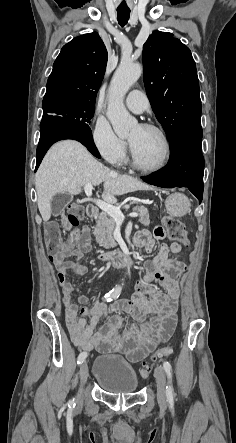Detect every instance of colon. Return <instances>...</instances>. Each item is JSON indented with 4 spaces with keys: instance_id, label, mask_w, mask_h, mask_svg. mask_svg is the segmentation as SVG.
<instances>
[{
    "instance_id": "1",
    "label": "colon",
    "mask_w": 236,
    "mask_h": 443,
    "mask_svg": "<svg viewBox=\"0 0 236 443\" xmlns=\"http://www.w3.org/2000/svg\"><path fill=\"white\" fill-rule=\"evenodd\" d=\"M67 212V225L76 227L79 224V219L82 216V207L78 203H70L66 209ZM164 227L159 228L155 231V235L159 238H164L165 235L168 236L170 240L179 245L186 246L188 244V240L186 237V230L184 224L171 216L163 217ZM62 227L56 222H50L47 226L46 230V238H47V248L48 252L52 259L56 261H62L68 254L62 244L59 242L61 237ZM118 350H113L111 352H117ZM173 352V345L168 344L163 348L152 352L149 355L148 360L144 361L142 364V368L140 370V374L142 377H147L149 375L151 362L156 361L160 358L169 356ZM135 359V357H132Z\"/></svg>"
}]
</instances>
